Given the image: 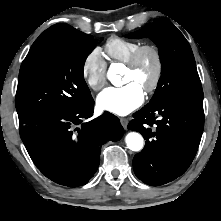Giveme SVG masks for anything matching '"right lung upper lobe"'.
Here are the masks:
<instances>
[{
	"label": "right lung upper lobe",
	"instance_id": "right-lung-upper-lobe-1",
	"mask_svg": "<svg viewBox=\"0 0 221 221\" xmlns=\"http://www.w3.org/2000/svg\"><path fill=\"white\" fill-rule=\"evenodd\" d=\"M82 34L84 33L74 29L70 25L62 24V23L55 24L51 26L50 28H48L46 31H44L36 39L30 51L34 50L38 46L49 41L58 40V39H75V38L80 37Z\"/></svg>",
	"mask_w": 221,
	"mask_h": 221
}]
</instances>
